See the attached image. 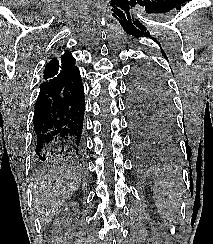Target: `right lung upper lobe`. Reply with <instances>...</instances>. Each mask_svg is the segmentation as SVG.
I'll return each mask as SVG.
<instances>
[{
  "mask_svg": "<svg viewBox=\"0 0 213 244\" xmlns=\"http://www.w3.org/2000/svg\"><path fill=\"white\" fill-rule=\"evenodd\" d=\"M75 59L69 51H64L62 55L52 58L44 69V83L52 82L63 78L76 70Z\"/></svg>",
  "mask_w": 213,
  "mask_h": 244,
  "instance_id": "obj_1",
  "label": "right lung upper lobe"
}]
</instances>
